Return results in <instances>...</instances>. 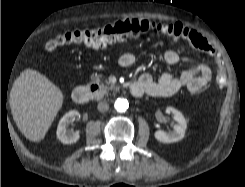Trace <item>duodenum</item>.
Returning a JSON list of instances; mask_svg holds the SVG:
<instances>
[{
    "instance_id": "obj_1",
    "label": "duodenum",
    "mask_w": 245,
    "mask_h": 187,
    "mask_svg": "<svg viewBox=\"0 0 245 187\" xmlns=\"http://www.w3.org/2000/svg\"><path fill=\"white\" fill-rule=\"evenodd\" d=\"M128 88L133 96L141 97L144 93L142 85L137 82L130 83ZM100 94V88L96 85L92 87L78 86L72 93L73 101L77 104H86Z\"/></svg>"
}]
</instances>
